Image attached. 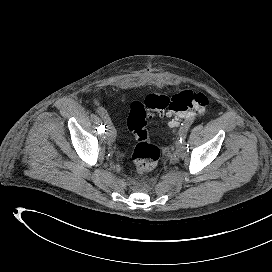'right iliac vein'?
<instances>
[{"mask_svg":"<svg viewBox=\"0 0 272 272\" xmlns=\"http://www.w3.org/2000/svg\"><path fill=\"white\" fill-rule=\"evenodd\" d=\"M104 124L106 125V128H107L106 135H107L108 139L111 141H114L115 137H116V130H115L113 123H112L111 119L109 118V116L106 119H104Z\"/></svg>","mask_w":272,"mask_h":272,"instance_id":"63e3f726","label":"right iliac vein"}]
</instances>
